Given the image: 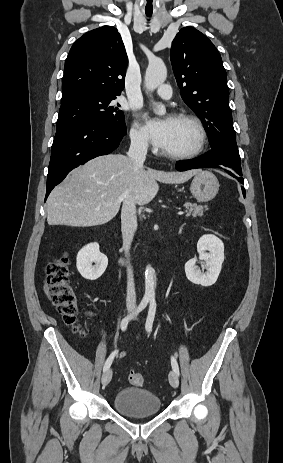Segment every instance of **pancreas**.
Returning a JSON list of instances; mask_svg holds the SVG:
<instances>
[{
	"label": "pancreas",
	"instance_id": "cf45deb5",
	"mask_svg": "<svg viewBox=\"0 0 283 463\" xmlns=\"http://www.w3.org/2000/svg\"><path fill=\"white\" fill-rule=\"evenodd\" d=\"M184 207L187 209V217H201L205 210H208L207 206L197 205L192 203H185Z\"/></svg>",
	"mask_w": 283,
	"mask_h": 463
}]
</instances>
